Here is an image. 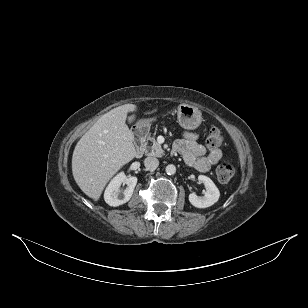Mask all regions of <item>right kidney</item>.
I'll use <instances>...</instances> for the list:
<instances>
[{
  "mask_svg": "<svg viewBox=\"0 0 308 308\" xmlns=\"http://www.w3.org/2000/svg\"><path fill=\"white\" fill-rule=\"evenodd\" d=\"M124 183L127 187L120 190L121 184ZM137 184V178L134 176L127 177L124 173H119L110 182L105 190V202L113 207L120 206L130 200L134 188Z\"/></svg>",
  "mask_w": 308,
  "mask_h": 308,
  "instance_id": "ca27d5eb",
  "label": "right kidney"
}]
</instances>
